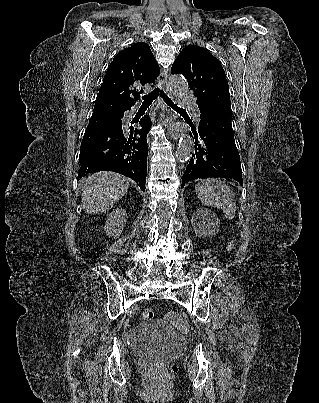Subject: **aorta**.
<instances>
[{
	"label": "aorta",
	"mask_w": 319,
	"mask_h": 403,
	"mask_svg": "<svg viewBox=\"0 0 319 403\" xmlns=\"http://www.w3.org/2000/svg\"><path fill=\"white\" fill-rule=\"evenodd\" d=\"M169 88L174 95H185L188 91V83L183 76L172 75L168 81ZM194 143L191 136L187 133L181 134L176 157L179 162H186L192 156Z\"/></svg>",
	"instance_id": "obj_1"
}]
</instances>
